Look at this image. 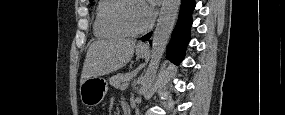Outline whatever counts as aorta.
Masks as SVG:
<instances>
[{
    "label": "aorta",
    "mask_w": 285,
    "mask_h": 115,
    "mask_svg": "<svg viewBox=\"0 0 285 115\" xmlns=\"http://www.w3.org/2000/svg\"><path fill=\"white\" fill-rule=\"evenodd\" d=\"M180 3V0L162 1V7L152 39L151 60L141 81V87L138 91L139 95L146 94L154 81L166 44L172 33Z\"/></svg>",
    "instance_id": "obj_1"
}]
</instances>
